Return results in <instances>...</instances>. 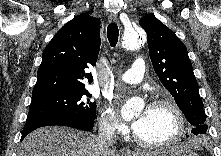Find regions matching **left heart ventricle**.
<instances>
[{
	"mask_svg": "<svg viewBox=\"0 0 221 156\" xmlns=\"http://www.w3.org/2000/svg\"><path fill=\"white\" fill-rule=\"evenodd\" d=\"M144 111H140L137 117ZM177 121L173 112L166 107H149L137 135L148 142L169 139L176 131Z\"/></svg>",
	"mask_w": 221,
	"mask_h": 156,
	"instance_id": "obj_1",
	"label": "left heart ventricle"
}]
</instances>
